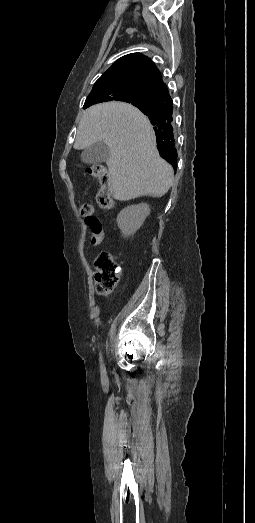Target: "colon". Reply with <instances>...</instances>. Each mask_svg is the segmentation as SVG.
Returning <instances> with one entry per match:
<instances>
[{"label":"colon","mask_w":255,"mask_h":523,"mask_svg":"<svg viewBox=\"0 0 255 523\" xmlns=\"http://www.w3.org/2000/svg\"><path fill=\"white\" fill-rule=\"evenodd\" d=\"M88 173L98 181L100 189L97 193V202L105 210L114 208L109 172L103 165H93L88 169ZM80 214L88 222L92 220L94 207L90 203L80 206ZM95 266V286L101 295H108L117 285L120 277V269L114 256L108 251L100 252L94 262Z\"/></svg>","instance_id":"1"}]
</instances>
